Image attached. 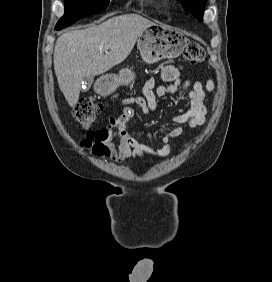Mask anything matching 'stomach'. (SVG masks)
Wrapping results in <instances>:
<instances>
[{"instance_id":"0dacf381","label":"stomach","mask_w":272,"mask_h":282,"mask_svg":"<svg viewBox=\"0 0 272 282\" xmlns=\"http://www.w3.org/2000/svg\"><path fill=\"white\" fill-rule=\"evenodd\" d=\"M187 39L183 34L169 26L153 24L144 30L137 39V46L142 59L153 64L161 59L176 58L182 54ZM135 79V73L129 68H123L118 74H108L102 77L101 92L112 93L119 86L129 85Z\"/></svg>"}]
</instances>
